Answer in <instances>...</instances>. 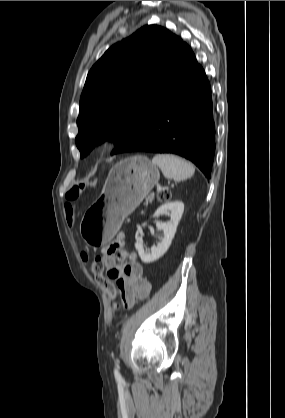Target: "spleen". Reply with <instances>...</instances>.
I'll return each instance as SVG.
<instances>
[{"label":"spleen","instance_id":"spleen-1","mask_svg":"<svg viewBox=\"0 0 285 418\" xmlns=\"http://www.w3.org/2000/svg\"><path fill=\"white\" fill-rule=\"evenodd\" d=\"M152 163L158 166L163 175L175 181L186 180L194 175V166L186 160L170 154H156Z\"/></svg>","mask_w":285,"mask_h":418}]
</instances>
